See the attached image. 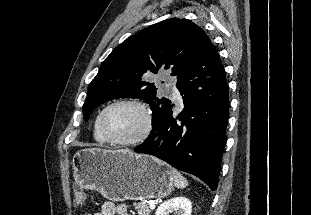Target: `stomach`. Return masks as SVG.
Here are the masks:
<instances>
[{"instance_id": "0dacf381", "label": "stomach", "mask_w": 311, "mask_h": 215, "mask_svg": "<svg viewBox=\"0 0 311 215\" xmlns=\"http://www.w3.org/2000/svg\"><path fill=\"white\" fill-rule=\"evenodd\" d=\"M72 165L78 185L112 201L161 199L174 187L166 163L127 150L82 149L73 156Z\"/></svg>"}]
</instances>
